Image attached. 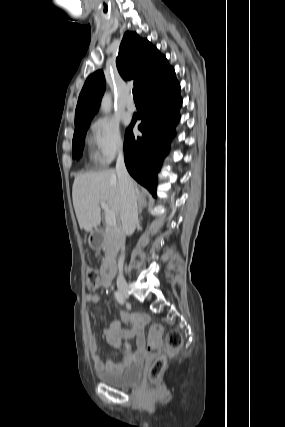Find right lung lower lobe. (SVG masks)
Returning <instances> with one entry per match:
<instances>
[{"mask_svg":"<svg viewBox=\"0 0 285 427\" xmlns=\"http://www.w3.org/2000/svg\"><path fill=\"white\" fill-rule=\"evenodd\" d=\"M140 96L143 107L126 131L124 159L130 175L155 196L157 173L169 151L182 104L174 69L170 67L151 80L140 91ZM138 119L142 120L138 126L141 137L132 133Z\"/></svg>","mask_w":285,"mask_h":427,"instance_id":"1","label":"right lung lower lobe"}]
</instances>
